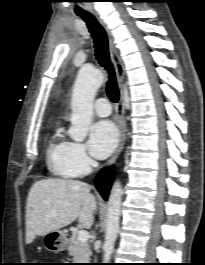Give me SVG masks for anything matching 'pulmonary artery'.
I'll use <instances>...</instances> for the list:
<instances>
[{"instance_id":"obj_1","label":"pulmonary artery","mask_w":205,"mask_h":265,"mask_svg":"<svg viewBox=\"0 0 205 265\" xmlns=\"http://www.w3.org/2000/svg\"><path fill=\"white\" fill-rule=\"evenodd\" d=\"M94 110L99 116L106 117L111 113V106L107 99L100 98L95 102Z\"/></svg>"}]
</instances>
